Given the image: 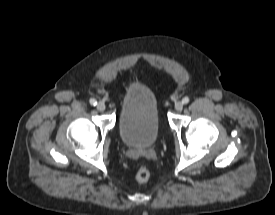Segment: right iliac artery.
<instances>
[{
  "label": "right iliac artery",
  "instance_id": "82829eb1",
  "mask_svg": "<svg viewBox=\"0 0 275 215\" xmlns=\"http://www.w3.org/2000/svg\"><path fill=\"white\" fill-rule=\"evenodd\" d=\"M89 102H90V104L93 105V106L97 105V101H96L94 98L90 99Z\"/></svg>",
  "mask_w": 275,
  "mask_h": 215
}]
</instances>
